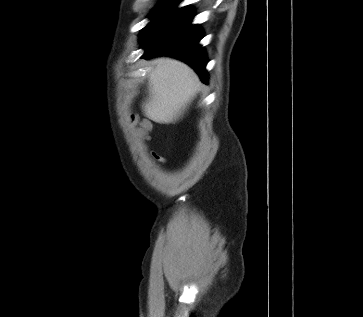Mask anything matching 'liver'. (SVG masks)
Listing matches in <instances>:
<instances>
[{
  "label": "liver",
  "instance_id": "liver-1",
  "mask_svg": "<svg viewBox=\"0 0 363 317\" xmlns=\"http://www.w3.org/2000/svg\"><path fill=\"white\" fill-rule=\"evenodd\" d=\"M152 65L144 114L157 123H174L199 92V78L188 65L169 57L155 58Z\"/></svg>",
  "mask_w": 363,
  "mask_h": 317
}]
</instances>
